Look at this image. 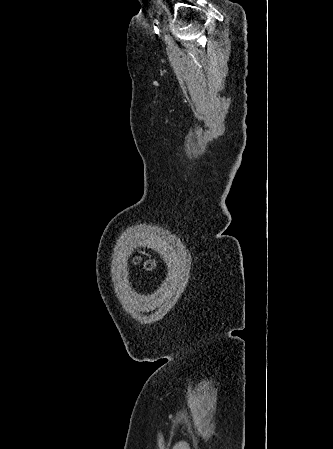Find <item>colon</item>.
Here are the masks:
<instances>
[{"label":"colon","instance_id":"1","mask_svg":"<svg viewBox=\"0 0 333 449\" xmlns=\"http://www.w3.org/2000/svg\"><path fill=\"white\" fill-rule=\"evenodd\" d=\"M134 264L142 265L145 271H152L154 269V263L151 261H142L139 257L133 259Z\"/></svg>","mask_w":333,"mask_h":449}]
</instances>
